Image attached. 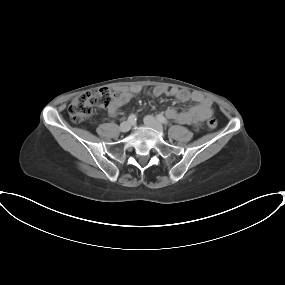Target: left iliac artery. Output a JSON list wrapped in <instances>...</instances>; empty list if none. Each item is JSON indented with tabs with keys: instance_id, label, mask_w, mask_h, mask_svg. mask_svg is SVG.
Returning <instances> with one entry per match:
<instances>
[{
	"instance_id": "1",
	"label": "left iliac artery",
	"mask_w": 285,
	"mask_h": 285,
	"mask_svg": "<svg viewBox=\"0 0 285 285\" xmlns=\"http://www.w3.org/2000/svg\"><path fill=\"white\" fill-rule=\"evenodd\" d=\"M157 120H158L159 122H161L162 124H164V125H167V124H168L167 119H166L163 115H157Z\"/></svg>"
}]
</instances>
